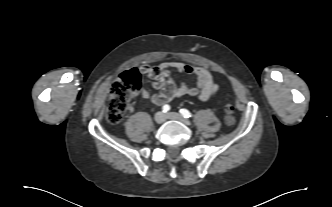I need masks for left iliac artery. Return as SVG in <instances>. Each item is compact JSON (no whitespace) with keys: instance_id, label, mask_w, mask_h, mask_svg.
Wrapping results in <instances>:
<instances>
[{"instance_id":"44dca946","label":"left iliac artery","mask_w":332,"mask_h":207,"mask_svg":"<svg viewBox=\"0 0 332 207\" xmlns=\"http://www.w3.org/2000/svg\"><path fill=\"white\" fill-rule=\"evenodd\" d=\"M180 113L185 118H190L191 117V113L187 109H181Z\"/></svg>"}]
</instances>
